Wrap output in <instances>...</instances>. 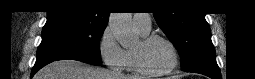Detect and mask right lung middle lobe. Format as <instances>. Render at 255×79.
<instances>
[{
	"label": "right lung middle lobe",
	"instance_id": "dd1d6c3e",
	"mask_svg": "<svg viewBox=\"0 0 255 79\" xmlns=\"http://www.w3.org/2000/svg\"><path fill=\"white\" fill-rule=\"evenodd\" d=\"M106 27L67 21L47 22L36 63L51 59H72L92 65L102 63L100 39Z\"/></svg>",
	"mask_w": 255,
	"mask_h": 79
}]
</instances>
